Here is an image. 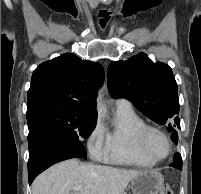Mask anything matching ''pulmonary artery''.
<instances>
[{
  "label": "pulmonary artery",
  "mask_w": 201,
  "mask_h": 194,
  "mask_svg": "<svg viewBox=\"0 0 201 194\" xmlns=\"http://www.w3.org/2000/svg\"><path fill=\"white\" fill-rule=\"evenodd\" d=\"M116 103L120 106H130V103L125 99H118Z\"/></svg>",
  "instance_id": "e3ab8cb5"
}]
</instances>
